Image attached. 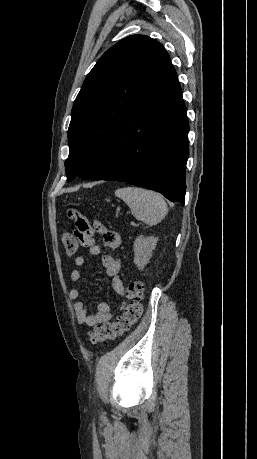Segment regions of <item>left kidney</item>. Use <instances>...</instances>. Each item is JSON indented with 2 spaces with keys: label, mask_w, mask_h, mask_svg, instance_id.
I'll return each instance as SVG.
<instances>
[{
  "label": "left kidney",
  "mask_w": 257,
  "mask_h": 459,
  "mask_svg": "<svg viewBox=\"0 0 257 459\" xmlns=\"http://www.w3.org/2000/svg\"><path fill=\"white\" fill-rule=\"evenodd\" d=\"M157 244V238L150 236L145 237L143 235L138 236L133 245L134 250V263L139 270H143L145 265L148 264L152 251L155 249Z\"/></svg>",
  "instance_id": "5707ae66"
}]
</instances>
